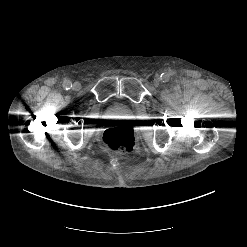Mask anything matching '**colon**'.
<instances>
[{"mask_svg":"<svg viewBox=\"0 0 247 247\" xmlns=\"http://www.w3.org/2000/svg\"><path fill=\"white\" fill-rule=\"evenodd\" d=\"M101 140L109 150L128 152L135 146L136 137L132 127L118 126L105 130Z\"/></svg>","mask_w":247,"mask_h":247,"instance_id":"1","label":"colon"}]
</instances>
